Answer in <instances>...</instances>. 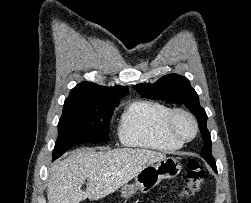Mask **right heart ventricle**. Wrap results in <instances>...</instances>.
Returning a JSON list of instances; mask_svg holds the SVG:
<instances>
[{
	"mask_svg": "<svg viewBox=\"0 0 251 203\" xmlns=\"http://www.w3.org/2000/svg\"><path fill=\"white\" fill-rule=\"evenodd\" d=\"M172 109L163 103L138 100L123 112L118 125L120 142L129 147L157 151H174L182 143L165 131V121Z\"/></svg>",
	"mask_w": 251,
	"mask_h": 203,
	"instance_id": "e07e8e85",
	"label": "right heart ventricle"
}]
</instances>
